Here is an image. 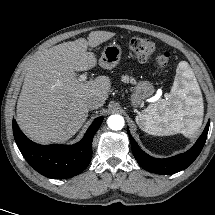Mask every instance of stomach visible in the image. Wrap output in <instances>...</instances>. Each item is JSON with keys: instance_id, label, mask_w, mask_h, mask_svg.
Masks as SVG:
<instances>
[{"instance_id": "obj_1", "label": "stomach", "mask_w": 215, "mask_h": 215, "mask_svg": "<svg viewBox=\"0 0 215 215\" xmlns=\"http://www.w3.org/2000/svg\"><path fill=\"white\" fill-rule=\"evenodd\" d=\"M122 49L120 45L112 43L104 47L102 55L99 59V65L104 69L114 68L120 61ZM154 93V86L150 81H139L134 88L131 96V103L134 107L140 106L145 99ZM142 129L143 126L139 124Z\"/></svg>"}]
</instances>
